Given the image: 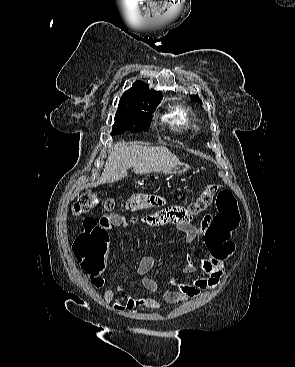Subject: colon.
I'll use <instances>...</instances> for the list:
<instances>
[{"instance_id":"1","label":"colon","mask_w":295,"mask_h":367,"mask_svg":"<svg viewBox=\"0 0 295 367\" xmlns=\"http://www.w3.org/2000/svg\"><path fill=\"white\" fill-rule=\"evenodd\" d=\"M163 201L160 198L156 203L160 205ZM97 202L95 192L84 191L76 199L73 209L76 213L85 214L92 211ZM213 203H215L218 213L208 228L205 241L207 246L217 255L227 258L234 250V244L230 241L231 234L240 222V214L234 195L218 184H210L189 207L188 212L191 214L200 213ZM104 207L107 210H112L115 207L114 200L111 198L104 200ZM83 228V232L78 234L73 241V252L83 270L94 277L104 269L107 233L92 218L84 220Z\"/></svg>"}]
</instances>
